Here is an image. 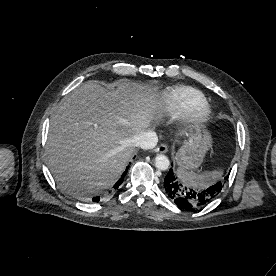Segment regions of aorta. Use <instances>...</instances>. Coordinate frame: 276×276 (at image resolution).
Masks as SVG:
<instances>
[{"label": "aorta", "mask_w": 276, "mask_h": 276, "mask_svg": "<svg viewBox=\"0 0 276 276\" xmlns=\"http://www.w3.org/2000/svg\"><path fill=\"white\" fill-rule=\"evenodd\" d=\"M155 166L159 170L165 171L169 168L170 161H169L168 157L160 154L155 157Z\"/></svg>", "instance_id": "obj_1"}]
</instances>
